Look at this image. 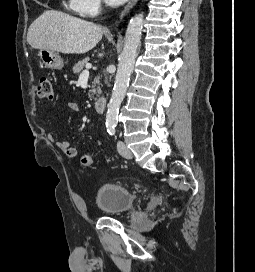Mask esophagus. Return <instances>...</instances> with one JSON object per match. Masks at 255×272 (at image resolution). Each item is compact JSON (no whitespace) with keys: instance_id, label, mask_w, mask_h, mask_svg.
Here are the masks:
<instances>
[{"instance_id":"1","label":"esophagus","mask_w":255,"mask_h":272,"mask_svg":"<svg viewBox=\"0 0 255 272\" xmlns=\"http://www.w3.org/2000/svg\"><path fill=\"white\" fill-rule=\"evenodd\" d=\"M137 1L138 0H130L122 10L120 17L123 18L132 9V7L136 4Z\"/></svg>"}]
</instances>
